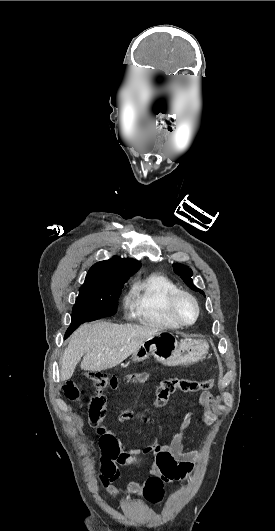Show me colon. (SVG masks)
<instances>
[{
    "label": "colon",
    "mask_w": 275,
    "mask_h": 531,
    "mask_svg": "<svg viewBox=\"0 0 275 531\" xmlns=\"http://www.w3.org/2000/svg\"><path fill=\"white\" fill-rule=\"evenodd\" d=\"M102 373H88L82 379L83 386L89 390L93 396L88 404L89 413L91 415V423L93 427L97 426V423L104 421L105 414L109 409L108 397L105 393L107 391V382L112 375H106L103 378L99 377ZM212 382L210 379H189L184 377H169L162 381H158L156 391H152L151 400L158 408L163 407L168 403L173 394L177 392L182 393H202L208 392L212 389ZM82 391V386L74 382H68L63 387L65 396L70 400H77ZM80 408H84L85 405H79ZM148 483L145 484L142 494L146 497L147 501L155 502L158 497L161 496V488L163 486L159 476L152 474L148 478Z\"/></svg>",
    "instance_id": "5ec220e1"
}]
</instances>
